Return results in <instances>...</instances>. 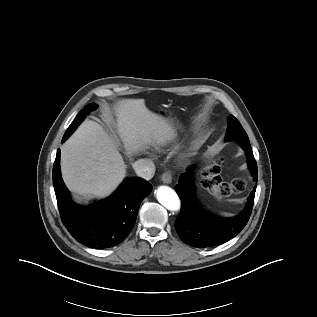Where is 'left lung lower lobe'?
<instances>
[{
	"label": "left lung lower lobe",
	"mask_w": 317,
	"mask_h": 317,
	"mask_svg": "<svg viewBox=\"0 0 317 317\" xmlns=\"http://www.w3.org/2000/svg\"><path fill=\"white\" fill-rule=\"evenodd\" d=\"M248 156V167L253 179L257 181V164L251 146L242 147ZM191 168L182 174L175 190L181 199V213L175 222L181 240L192 247H213L235 237L247 224L253 204L256 187L247 198L246 207L237 216L221 219L205 212L195 197Z\"/></svg>",
	"instance_id": "0a47b994"
}]
</instances>
